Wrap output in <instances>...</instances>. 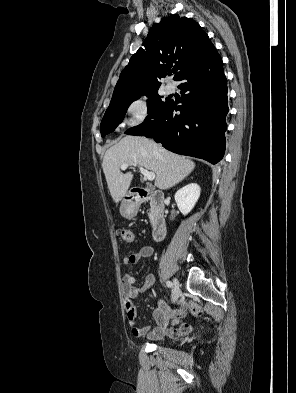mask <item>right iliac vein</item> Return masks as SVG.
<instances>
[{"mask_svg":"<svg viewBox=\"0 0 296 393\" xmlns=\"http://www.w3.org/2000/svg\"><path fill=\"white\" fill-rule=\"evenodd\" d=\"M173 283H174V287H173V291H172V299L175 302L178 299L179 294H180V284L177 279H174Z\"/></svg>","mask_w":296,"mask_h":393,"instance_id":"obj_1","label":"right iliac vein"}]
</instances>
